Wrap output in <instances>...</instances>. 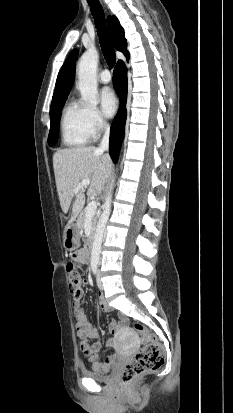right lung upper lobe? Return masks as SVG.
Returning a JSON list of instances; mask_svg holds the SVG:
<instances>
[{"label":"right lung upper lobe","instance_id":"cb5924a9","mask_svg":"<svg viewBox=\"0 0 233 413\" xmlns=\"http://www.w3.org/2000/svg\"><path fill=\"white\" fill-rule=\"evenodd\" d=\"M107 24L114 47L118 51H121L124 55L128 54L126 50L127 41L124 37V30L120 26L118 19L115 16H108ZM77 54V50L74 49L62 66L57 77L55 92L51 104L67 99L75 79L74 65L77 59Z\"/></svg>","mask_w":233,"mask_h":413}]
</instances>
